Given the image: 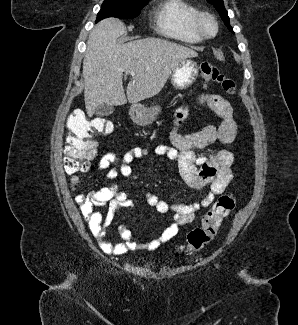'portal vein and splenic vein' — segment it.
Returning <instances> with one entry per match:
<instances>
[{
  "instance_id": "obj_1",
  "label": "portal vein and splenic vein",
  "mask_w": 298,
  "mask_h": 325,
  "mask_svg": "<svg viewBox=\"0 0 298 325\" xmlns=\"http://www.w3.org/2000/svg\"><path fill=\"white\" fill-rule=\"evenodd\" d=\"M125 74H131V76H136L135 72H133V70H127V72H125Z\"/></svg>"
}]
</instances>
